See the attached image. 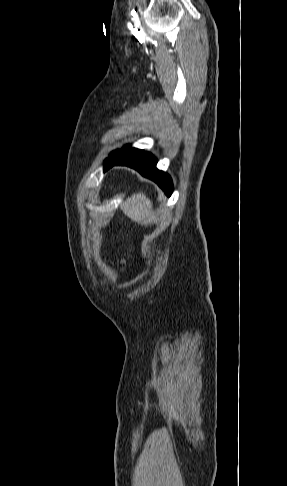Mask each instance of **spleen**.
<instances>
[{"mask_svg": "<svg viewBox=\"0 0 287 486\" xmlns=\"http://www.w3.org/2000/svg\"><path fill=\"white\" fill-rule=\"evenodd\" d=\"M121 209L132 221L141 225L147 226L156 219L152 210V201L142 192L133 194L123 201Z\"/></svg>", "mask_w": 287, "mask_h": 486, "instance_id": "spleen-1", "label": "spleen"}]
</instances>
